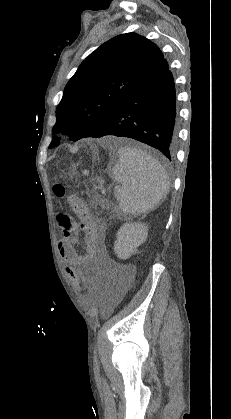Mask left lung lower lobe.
<instances>
[{
  "instance_id": "left-lung-lower-lobe-1",
  "label": "left lung lower lobe",
  "mask_w": 231,
  "mask_h": 419,
  "mask_svg": "<svg viewBox=\"0 0 231 419\" xmlns=\"http://www.w3.org/2000/svg\"><path fill=\"white\" fill-rule=\"evenodd\" d=\"M129 137L158 149L172 160L176 144V92L165 59L133 88L92 136Z\"/></svg>"
}]
</instances>
